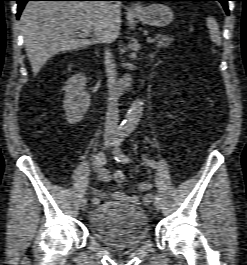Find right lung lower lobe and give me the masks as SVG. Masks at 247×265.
<instances>
[{
	"label": "right lung lower lobe",
	"instance_id": "98d812e1",
	"mask_svg": "<svg viewBox=\"0 0 247 265\" xmlns=\"http://www.w3.org/2000/svg\"><path fill=\"white\" fill-rule=\"evenodd\" d=\"M18 3L17 19H19L20 14L28 1H127V0H15Z\"/></svg>",
	"mask_w": 247,
	"mask_h": 265
}]
</instances>
